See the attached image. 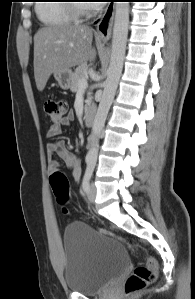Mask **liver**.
Returning a JSON list of instances; mask_svg holds the SVG:
<instances>
[{"instance_id":"6515ba94","label":"liver","mask_w":195,"mask_h":299,"mask_svg":"<svg viewBox=\"0 0 195 299\" xmlns=\"http://www.w3.org/2000/svg\"><path fill=\"white\" fill-rule=\"evenodd\" d=\"M93 29L86 25L62 24L43 27L34 36V77L43 91L52 73L63 72L96 58Z\"/></svg>"}]
</instances>
